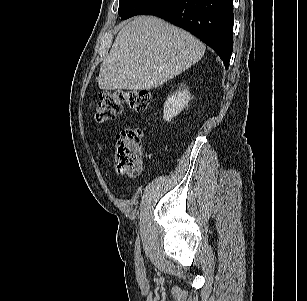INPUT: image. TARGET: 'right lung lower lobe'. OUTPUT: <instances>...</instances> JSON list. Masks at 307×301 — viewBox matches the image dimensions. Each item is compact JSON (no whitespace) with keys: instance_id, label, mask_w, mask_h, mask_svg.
Wrapping results in <instances>:
<instances>
[{"instance_id":"obj_1","label":"right lung lower lobe","mask_w":307,"mask_h":301,"mask_svg":"<svg viewBox=\"0 0 307 301\" xmlns=\"http://www.w3.org/2000/svg\"><path fill=\"white\" fill-rule=\"evenodd\" d=\"M141 14L155 15L206 43L229 66L233 50V0H160Z\"/></svg>"}]
</instances>
